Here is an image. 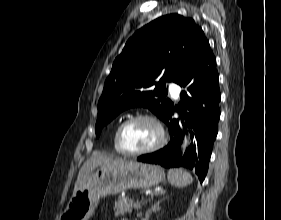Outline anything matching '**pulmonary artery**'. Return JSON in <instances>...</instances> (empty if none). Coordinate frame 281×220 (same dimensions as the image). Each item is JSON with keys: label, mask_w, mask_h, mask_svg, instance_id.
I'll list each match as a JSON object with an SVG mask.
<instances>
[{"label": "pulmonary artery", "mask_w": 281, "mask_h": 220, "mask_svg": "<svg viewBox=\"0 0 281 220\" xmlns=\"http://www.w3.org/2000/svg\"><path fill=\"white\" fill-rule=\"evenodd\" d=\"M169 91L173 98L177 99L179 97L180 88L176 84H170Z\"/></svg>", "instance_id": "pulmonary-artery-1"}]
</instances>
